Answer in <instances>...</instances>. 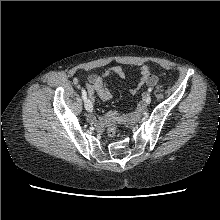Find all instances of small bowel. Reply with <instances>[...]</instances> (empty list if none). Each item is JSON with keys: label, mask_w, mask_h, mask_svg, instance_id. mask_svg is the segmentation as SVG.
Here are the masks:
<instances>
[{"label": "small bowel", "mask_w": 220, "mask_h": 220, "mask_svg": "<svg viewBox=\"0 0 220 220\" xmlns=\"http://www.w3.org/2000/svg\"><path fill=\"white\" fill-rule=\"evenodd\" d=\"M139 74L140 81L137 87L131 89V93L133 94H136L137 91L145 85L154 86L158 83V78L151 73L149 67L146 65H142L139 68ZM112 75L124 78L125 71L119 66H114L108 68L102 74H92L88 77L85 87L91 100L94 99V94H96L103 101H108L112 98L113 90L108 88L106 84V79ZM111 117L113 116L108 115V119ZM88 121L92 124H98L100 127H104L106 123L105 118H99L93 114L88 116Z\"/></svg>", "instance_id": "small-bowel-1"}]
</instances>
